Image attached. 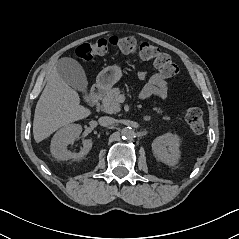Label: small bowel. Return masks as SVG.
Returning a JSON list of instances; mask_svg holds the SVG:
<instances>
[{"label": "small bowel", "mask_w": 239, "mask_h": 239, "mask_svg": "<svg viewBox=\"0 0 239 239\" xmlns=\"http://www.w3.org/2000/svg\"><path fill=\"white\" fill-rule=\"evenodd\" d=\"M140 79L144 80L148 77L147 72L141 71L138 73ZM169 92L168 82L159 74L154 73L148 77V83L141 91V99H148L150 97H157L164 99Z\"/></svg>", "instance_id": "c3829d8e"}]
</instances>
